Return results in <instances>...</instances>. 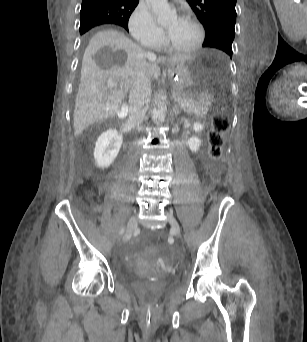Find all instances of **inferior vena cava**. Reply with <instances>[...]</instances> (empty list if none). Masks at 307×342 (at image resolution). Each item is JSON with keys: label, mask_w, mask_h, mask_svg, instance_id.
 Wrapping results in <instances>:
<instances>
[{"label": "inferior vena cava", "mask_w": 307, "mask_h": 342, "mask_svg": "<svg viewBox=\"0 0 307 342\" xmlns=\"http://www.w3.org/2000/svg\"><path fill=\"white\" fill-rule=\"evenodd\" d=\"M151 82L147 76L140 74L138 80L132 84L129 94L128 126L140 128L146 114V108L151 100Z\"/></svg>", "instance_id": "inferior-vena-cava-1"}]
</instances>
